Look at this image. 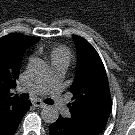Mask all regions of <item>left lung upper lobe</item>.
I'll use <instances>...</instances> for the list:
<instances>
[{"mask_svg":"<svg viewBox=\"0 0 135 135\" xmlns=\"http://www.w3.org/2000/svg\"><path fill=\"white\" fill-rule=\"evenodd\" d=\"M78 65L71 86L74 102L69 105L71 121L99 134L106 126L111 111L107 74L100 56L84 38L74 36Z\"/></svg>","mask_w":135,"mask_h":135,"instance_id":"obj_1","label":"left lung upper lobe"}]
</instances>
